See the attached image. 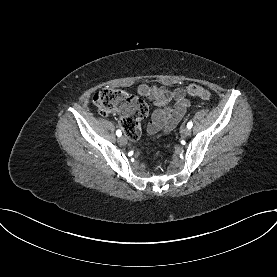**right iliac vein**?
I'll list each match as a JSON object with an SVG mask.
<instances>
[{"label":"right iliac vein","mask_w":277,"mask_h":277,"mask_svg":"<svg viewBox=\"0 0 277 277\" xmlns=\"http://www.w3.org/2000/svg\"><path fill=\"white\" fill-rule=\"evenodd\" d=\"M118 143H119L120 145H126V144H127V138H126L125 136H120V137L118 138Z\"/></svg>","instance_id":"63e3f726"}]
</instances>
